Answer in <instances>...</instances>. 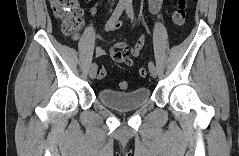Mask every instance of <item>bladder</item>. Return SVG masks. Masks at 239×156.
Listing matches in <instances>:
<instances>
[{"mask_svg": "<svg viewBox=\"0 0 239 156\" xmlns=\"http://www.w3.org/2000/svg\"><path fill=\"white\" fill-rule=\"evenodd\" d=\"M151 97L146 87L131 92H121L110 88H101L97 92L98 100L106 107L115 111L137 110L143 107Z\"/></svg>", "mask_w": 239, "mask_h": 156, "instance_id": "1", "label": "bladder"}]
</instances>
